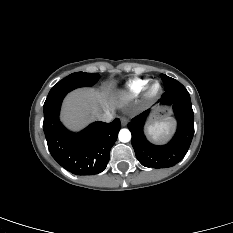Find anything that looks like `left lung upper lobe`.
<instances>
[{"instance_id": "5c2ea615", "label": "left lung upper lobe", "mask_w": 233, "mask_h": 233, "mask_svg": "<svg viewBox=\"0 0 233 233\" xmlns=\"http://www.w3.org/2000/svg\"><path fill=\"white\" fill-rule=\"evenodd\" d=\"M161 79L164 82L165 90L170 89V88L174 87L177 83H179L177 80H175V79H173L171 77H168L165 74H161Z\"/></svg>"}]
</instances>
